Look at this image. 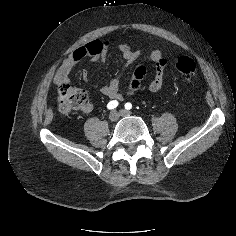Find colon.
Returning <instances> with one entry per match:
<instances>
[{
    "label": "colon",
    "mask_w": 236,
    "mask_h": 236,
    "mask_svg": "<svg viewBox=\"0 0 236 236\" xmlns=\"http://www.w3.org/2000/svg\"><path fill=\"white\" fill-rule=\"evenodd\" d=\"M176 69L183 78L190 80L195 77L196 63L191 57L182 56L176 63ZM145 73L146 68L143 65L136 67L129 83V90L135 91L139 88ZM86 100L85 90L69 84L62 85L59 89L58 110L65 115L74 113L86 104Z\"/></svg>",
    "instance_id": "colon-1"
}]
</instances>
